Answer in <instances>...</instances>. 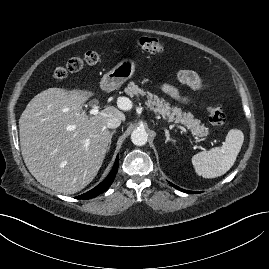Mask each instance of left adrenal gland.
Masks as SVG:
<instances>
[{"instance_id": "obj_1", "label": "left adrenal gland", "mask_w": 269, "mask_h": 269, "mask_svg": "<svg viewBox=\"0 0 269 269\" xmlns=\"http://www.w3.org/2000/svg\"><path fill=\"white\" fill-rule=\"evenodd\" d=\"M164 131H165V136H166L165 143H167V142H173L174 143L175 140H173V139L170 138L169 131L167 129H164Z\"/></svg>"}]
</instances>
